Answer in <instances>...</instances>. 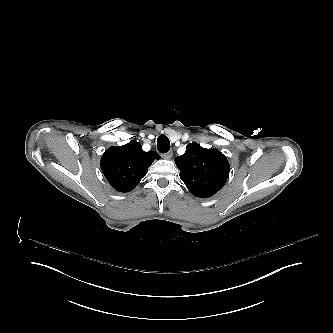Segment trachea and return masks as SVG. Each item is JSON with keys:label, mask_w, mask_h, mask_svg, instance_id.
<instances>
[{"label": "trachea", "mask_w": 333, "mask_h": 333, "mask_svg": "<svg viewBox=\"0 0 333 333\" xmlns=\"http://www.w3.org/2000/svg\"><path fill=\"white\" fill-rule=\"evenodd\" d=\"M157 149L160 153H167L170 149V141L168 137L161 134L157 139Z\"/></svg>", "instance_id": "trachea-1"}]
</instances>
